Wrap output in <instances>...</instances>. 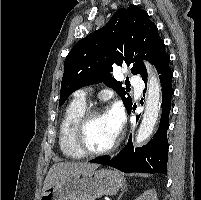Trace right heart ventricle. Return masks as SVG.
<instances>
[{
  "label": "right heart ventricle",
  "instance_id": "obj_1",
  "mask_svg": "<svg viewBox=\"0 0 201 200\" xmlns=\"http://www.w3.org/2000/svg\"><path fill=\"white\" fill-rule=\"evenodd\" d=\"M86 109L85 100L75 98L66 107L59 127V147L64 156L70 159H81L84 157L73 143L74 125Z\"/></svg>",
  "mask_w": 201,
  "mask_h": 200
}]
</instances>
